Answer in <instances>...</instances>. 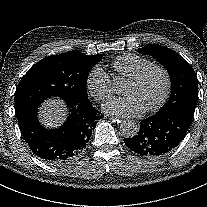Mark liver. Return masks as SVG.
I'll return each mask as SVG.
<instances>
[{"label": "liver", "mask_w": 207, "mask_h": 207, "mask_svg": "<svg viewBox=\"0 0 207 207\" xmlns=\"http://www.w3.org/2000/svg\"><path fill=\"white\" fill-rule=\"evenodd\" d=\"M66 110L58 100L48 101L41 110L42 121L50 126H58L65 118Z\"/></svg>", "instance_id": "liver-1"}]
</instances>
